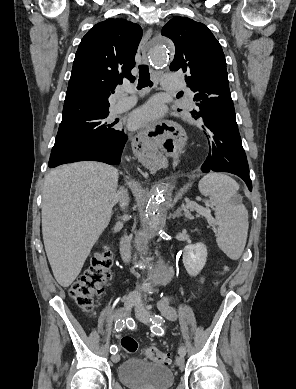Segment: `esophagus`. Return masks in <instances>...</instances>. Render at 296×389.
Listing matches in <instances>:
<instances>
[{"label":"esophagus","mask_w":296,"mask_h":389,"mask_svg":"<svg viewBox=\"0 0 296 389\" xmlns=\"http://www.w3.org/2000/svg\"><path fill=\"white\" fill-rule=\"evenodd\" d=\"M152 35V29L149 28L143 35L137 51V61L147 64V44ZM183 128L181 118H165L154 121L153 126H147L144 130L133 135L131 139L132 147L135 148L139 163H142L144 169H164L166 167V158L161 150H157V139H173L177 131Z\"/></svg>","instance_id":"1"}]
</instances>
